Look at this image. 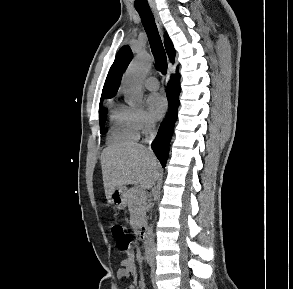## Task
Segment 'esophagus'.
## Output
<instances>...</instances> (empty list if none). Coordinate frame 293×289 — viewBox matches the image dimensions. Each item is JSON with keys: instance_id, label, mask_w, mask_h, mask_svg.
I'll list each match as a JSON object with an SVG mask.
<instances>
[{"instance_id": "esophagus-1", "label": "esophagus", "mask_w": 293, "mask_h": 289, "mask_svg": "<svg viewBox=\"0 0 293 289\" xmlns=\"http://www.w3.org/2000/svg\"><path fill=\"white\" fill-rule=\"evenodd\" d=\"M152 13L154 15V18H155V22H156V25L160 31V33L162 34L163 33V27H162V22L160 20V16L158 14V11L155 7L152 8ZM169 78H170V74L168 73L167 76L165 77V84L168 83L169 81Z\"/></svg>"}]
</instances>
